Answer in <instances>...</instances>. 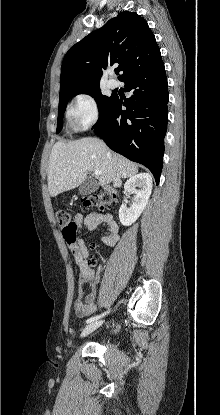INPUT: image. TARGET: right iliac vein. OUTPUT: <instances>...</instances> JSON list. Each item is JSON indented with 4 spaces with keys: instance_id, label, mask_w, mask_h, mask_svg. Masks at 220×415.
<instances>
[{
    "instance_id": "obj_1",
    "label": "right iliac vein",
    "mask_w": 220,
    "mask_h": 415,
    "mask_svg": "<svg viewBox=\"0 0 220 415\" xmlns=\"http://www.w3.org/2000/svg\"><path fill=\"white\" fill-rule=\"evenodd\" d=\"M103 324V321H96L93 322L89 325H87L81 332V337H86L87 335H89L90 333H92L93 331H95L96 329H98L101 325Z\"/></svg>"
}]
</instances>
